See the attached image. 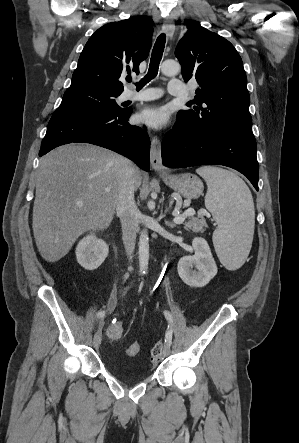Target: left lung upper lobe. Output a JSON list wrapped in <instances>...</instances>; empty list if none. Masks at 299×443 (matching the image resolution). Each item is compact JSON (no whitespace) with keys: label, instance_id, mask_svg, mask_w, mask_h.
<instances>
[{"label":"left lung upper lobe","instance_id":"5c2ea615","mask_svg":"<svg viewBox=\"0 0 299 443\" xmlns=\"http://www.w3.org/2000/svg\"><path fill=\"white\" fill-rule=\"evenodd\" d=\"M175 55L187 82L200 85L194 110H180L178 117L196 129L209 131L240 129L252 131L250 96L243 62L225 38L201 25H192L176 47Z\"/></svg>","mask_w":299,"mask_h":443}]
</instances>
